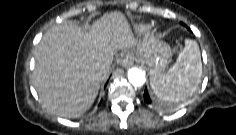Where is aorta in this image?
Segmentation results:
<instances>
[{
  "mask_svg": "<svg viewBox=\"0 0 236 135\" xmlns=\"http://www.w3.org/2000/svg\"><path fill=\"white\" fill-rule=\"evenodd\" d=\"M128 80L134 86H142L146 81L145 72L139 68H131L128 71Z\"/></svg>",
  "mask_w": 236,
  "mask_h": 135,
  "instance_id": "obj_1",
  "label": "aorta"
}]
</instances>
